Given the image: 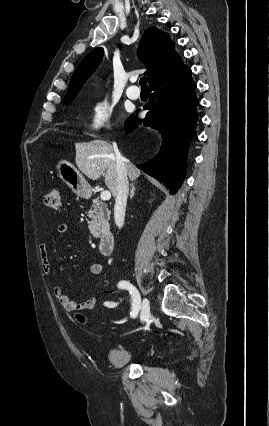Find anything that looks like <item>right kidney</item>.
Listing matches in <instances>:
<instances>
[{
  "mask_svg": "<svg viewBox=\"0 0 269 426\" xmlns=\"http://www.w3.org/2000/svg\"><path fill=\"white\" fill-rule=\"evenodd\" d=\"M105 307H106V309L107 310H109V311H111V310H113V309H116L117 308V305L116 304H114V303H111V302H109V303H105Z\"/></svg>",
  "mask_w": 269,
  "mask_h": 426,
  "instance_id": "obj_1",
  "label": "right kidney"
}]
</instances>
